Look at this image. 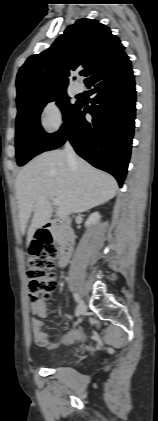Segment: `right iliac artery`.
I'll return each mask as SVG.
<instances>
[{
    "label": "right iliac artery",
    "mask_w": 158,
    "mask_h": 421,
    "mask_svg": "<svg viewBox=\"0 0 158 421\" xmlns=\"http://www.w3.org/2000/svg\"><path fill=\"white\" fill-rule=\"evenodd\" d=\"M74 299H75L76 302H79V300H80L79 295L78 294H74Z\"/></svg>",
    "instance_id": "obj_1"
}]
</instances>
